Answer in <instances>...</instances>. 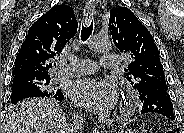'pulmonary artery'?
<instances>
[{"label":"pulmonary artery","mask_w":184,"mask_h":133,"mask_svg":"<svg viewBox=\"0 0 184 133\" xmlns=\"http://www.w3.org/2000/svg\"><path fill=\"white\" fill-rule=\"evenodd\" d=\"M70 63L58 69L59 77H73L94 73L98 67L92 60L86 58L68 57ZM121 61V57L115 54H106L101 58V66L103 69H116Z\"/></svg>","instance_id":"1"}]
</instances>
